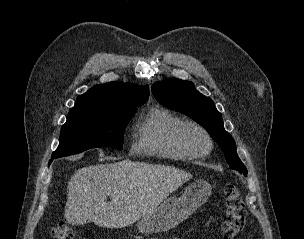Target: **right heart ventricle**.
Listing matches in <instances>:
<instances>
[{"instance_id": "e07e8e85", "label": "right heart ventricle", "mask_w": 304, "mask_h": 239, "mask_svg": "<svg viewBox=\"0 0 304 239\" xmlns=\"http://www.w3.org/2000/svg\"><path fill=\"white\" fill-rule=\"evenodd\" d=\"M183 122L180 117L163 108H152L136 125L137 149L160 158L184 160L189 157L174 141V131Z\"/></svg>"}]
</instances>
